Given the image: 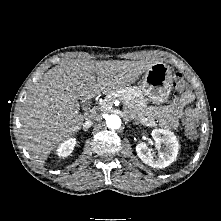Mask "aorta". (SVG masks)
<instances>
[{"label":"aorta","instance_id":"aorta-1","mask_svg":"<svg viewBox=\"0 0 221 221\" xmlns=\"http://www.w3.org/2000/svg\"><path fill=\"white\" fill-rule=\"evenodd\" d=\"M121 119L116 114H111L106 118V125L110 129H118L121 127Z\"/></svg>","mask_w":221,"mask_h":221}]
</instances>
